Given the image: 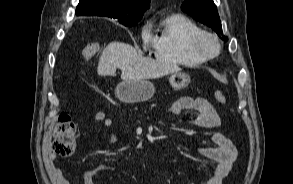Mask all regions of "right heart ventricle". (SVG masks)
I'll use <instances>...</instances> for the list:
<instances>
[{
    "label": "right heart ventricle",
    "mask_w": 293,
    "mask_h": 184,
    "mask_svg": "<svg viewBox=\"0 0 293 184\" xmlns=\"http://www.w3.org/2000/svg\"><path fill=\"white\" fill-rule=\"evenodd\" d=\"M199 31L200 28L182 14L164 17L153 38L155 57L158 60L182 66L201 65L205 60L194 55L190 49V40Z\"/></svg>",
    "instance_id": "1"
}]
</instances>
